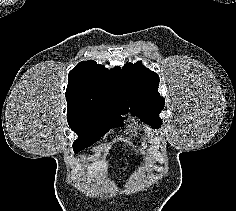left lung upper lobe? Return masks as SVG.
<instances>
[{
    "label": "left lung upper lobe",
    "instance_id": "left-lung-upper-lobe-1",
    "mask_svg": "<svg viewBox=\"0 0 236 211\" xmlns=\"http://www.w3.org/2000/svg\"><path fill=\"white\" fill-rule=\"evenodd\" d=\"M123 74L132 115L158 129L162 124L159 113L165 104V99L158 93V74L145 68L141 62L126 63Z\"/></svg>",
    "mask_w": 236,
    "mask_h": 211
}]
</instances>
